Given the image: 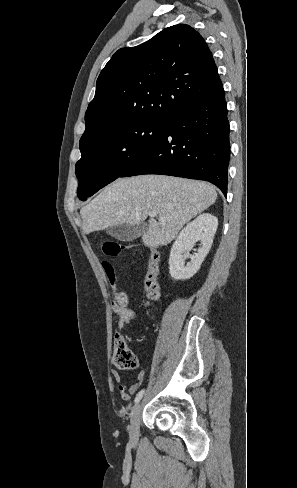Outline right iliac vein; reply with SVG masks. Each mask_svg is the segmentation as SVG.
Here are the masks:
<instances>
[{
	"label": "right iliac vein",
	"instance_id": "63e3f726",
	"mask_svg": "<svg viewBox=\"0 0 297 488\" xmlns=\"http://www.w3.org/2000/svg\"><path fill=\"white\" fill-rule=\"evenodd\" d=\"M141 404H137L133 407L130 416V425H129V437L131 443H137L139 437V425H140V416H141Z\"/></svg>",
	"mask_w": 297,
	"mask_h": 488
}]
</instances>
